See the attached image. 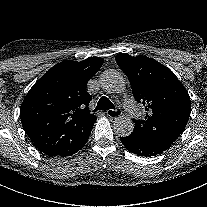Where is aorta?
Segmentation results:
<instances>
[{
	"label": "aorta",
	"instance_id": "1",
	"mask_svg": "<svg viewBox=\"0 0 207 207\" xmlns=\"http://www.w3.org/2000/svg\"><path fill=\"white\" fill-rule=\"evenodd\" d=\"M100 84L107 93H122L125 90L123 75L114 69L105 70L100 77ZM114 131L122 137L129 136L134 129V123L127 116H119L113 123Z\"/></svg>",
	"mask_w": 207,
	"mask_h": 207
}]
</instances>
